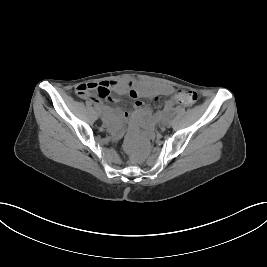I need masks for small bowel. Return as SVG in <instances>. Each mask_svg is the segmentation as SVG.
<instances>
[{
  "label": "small bowel",
  "instance_id": "c3829d8e",
  "mask_svg": "<svg viewBox=\"0 0 267 267\" xmlns=\"http://www.w3.org/2000/svg\"><path fill=\"white\" fill-rule=\"evenodd\" d=\"M103 83L107 87L117 89L119 93H126L127 91H129V95L135 100L134 107L136 110H142L144 108V103L141 101L142 97L169 96L175 93V90L172 86L165 84H156L151 82H136L131 85L126 82L117 83L114 81H104ZM87 84L88 83L77 86L76 93L79 97H80L79 89ZM81 98L88 99L89 101L95 103L97 107H100L105 111H108V107L105 106L104 102L101 99L95 97H90V98L81 97ZM173 105H174V99L173 98L169 99L165 103V109L171 110L173 108ZM125 116L132 117V114L130 112H126ZM161 116H162L161 112H157L155 115V119L159 120Z\"/></svg>",
  "mask_w": 267,
  "mask_h": 267
}]
</instances>
